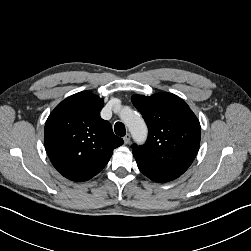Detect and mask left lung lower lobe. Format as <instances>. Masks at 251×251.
Masks as SVG:
<instances>
[{
  "mask_svg": "<svg viewBox=\"0 0 251 251\" xmlns=\"http://www.w3.org/2000/svg\"><path fill=\"white\" fill-rule=\"evenodd\" d=\"M139 170L148 178L155 182H168L172 181L176 178H178V175L175 174H170V173H158V172H153L145 169H140Z\"/></svg>",
  "mask_w": 251,
  "mask_h": 251,
  "instance_id": "0a47b994",
  "label": "left lung lower lobe"
}]
</instances>
